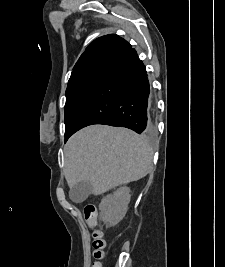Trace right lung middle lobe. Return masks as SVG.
<instances>
[{
  "label": "right lung middle lobe",
  "mask_w": 225,
  "mask_h": 267,
  "mask_svg": "<svg viewBox=\"0 0 225 267\" xmlns=\"http://www.w3.org/2000/svg\"><path fill=\"white\" fill-rule=\"evenodd\" d=\"M104 74L83 78L66 89L65 142L72 135L73 124L82 105L99 83Z\"/></svg>",
  "instance_id": "1"
}]
</instances>
